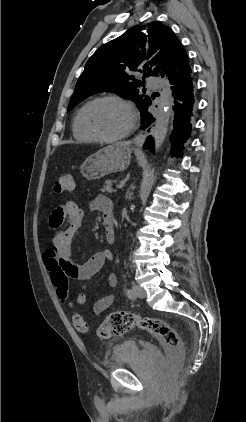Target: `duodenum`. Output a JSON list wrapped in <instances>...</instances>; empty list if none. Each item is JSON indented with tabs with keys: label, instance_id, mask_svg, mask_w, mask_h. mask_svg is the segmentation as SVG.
Wrapping results in <instances>:
<instances>
[{
	"label": "duodenum",
	"instance_id": "obj_1",
	"mask_svg": "<svg viewBox=\"0 0 246 422\" xmlns=\"http://www.w3.org/2000/svg\"><path fill=\"white\" fill-rule=\"evenodd\" d=\"M104 228H105V235L106 239L109 243H113L115 240V231L113 226V221L110 219H106L104 221Z\"/></svg>",
	"mask_w": 246,
	"mask_h": 422
}]
</instances>
